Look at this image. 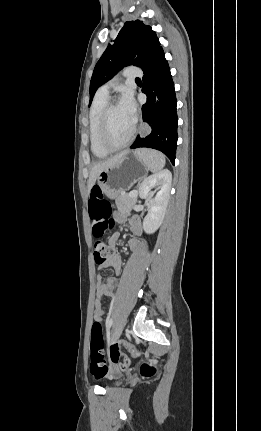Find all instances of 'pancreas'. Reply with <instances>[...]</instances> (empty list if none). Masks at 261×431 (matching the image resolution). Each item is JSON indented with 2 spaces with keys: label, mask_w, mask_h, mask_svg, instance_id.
Instances as JSON below:
<instances>
[{
  "label": "pancreas",
  "mask_w": 261,
  "mask_h": 431,
  "mask_svg": "<svg viewBox=\"0 0 261 431\" xmlns=\"http://www.w3.org/2000/svg\"><path fill=\"white\" fill-rule=\"evenodd\" d=\"M137 202V195L135 197H130L128 193L118 194L115 196V203L118 211L128 212L130 211Z\"/></svg>",
  "instance_id": "pancreas-1"
}]
</instances>
